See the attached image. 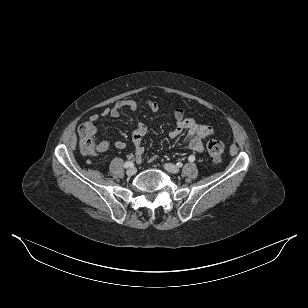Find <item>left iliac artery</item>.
<instances>
[{"mask_svg": "<svg viewBox=\"0 0 308 308\" xmlns=\"http://www.w3.org/2000/svg\"><path fill=\"white\" fill-rule=\"evenodd\" d=\"M195 160V157L194 156H189V158H188V161L189 162H193ZM178 167H181L182 166V163H177L176 164Z\"/></svg>", "mask_w": 308, "mask_h": 308, "instance_id": "44dca946", "label": "left iliac artery"}]
</instances>
